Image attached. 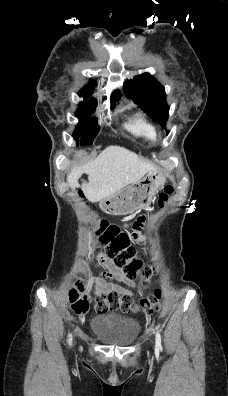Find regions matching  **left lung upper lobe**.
Wrapping results in <instances>:
<instances>
[{"label": "left lung upper lobe", "mask_w": 228, "mask_h": 396, "mask_svg": "<svg viewBox=\"0 0 228 396\" xmlns=\"http://www.w3.org/2000/svg\"><path fill=\"white\" fill-rule=\"evenodd\" d=\"M124 91L155 122L164 128L168 119L169 106L166 103L164 87L149 73L135 76L126 81Z\"/></svg>", "instance_id": "5c2ea615"}]
</instances>
